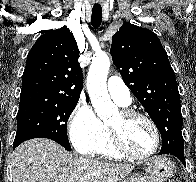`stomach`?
<instances>
[{
	"label": "stomach",
	"mask_w": 196,
	"mask_h": 182,
	"mask_svg": "<svg viewBox=\"0 0 196 182\" xmlns=\"http://www.w3.org/2000/svg\"><path fill=\"white\" fill-rule=\"evenodd\" d=\"M145 165L144 173H136L124 182H165L174 171V164L162 156L150 159Z\"/></svg>",
	"instance_id": "obj_1"
}]
</instances>
